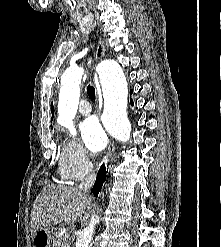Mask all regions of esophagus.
<instances>
[{"label": "esophagus", "mask_w": 221, "mask_h": 247, "mask_svg": "<svg viewBox=\"0 0 221 247\" xmlns=\"http://www.w3.org/2000/svg\"><path fill=\"white\" fill-rule=\"evenodd\" d=\"M104 54H105V46H104V42L100 38L97 45L96 58L100 60L104 56ZM99 100H100V95H99ZM114 153H115V145L114 142L110 140L105 158L108 160H112Z\"/></svg>", "instance_id": "obj_1"}]
</instances>
